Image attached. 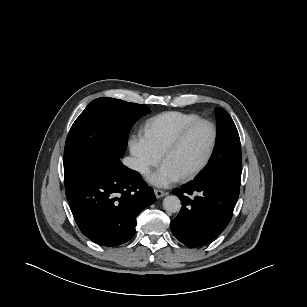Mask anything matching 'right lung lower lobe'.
Returning a JSON list of instances; mask_svg holds the SVG:
<instances>
[{
  "instance_id": "right-lung-lower-lobe-1",
  "label": "right lung lower lobe",
  "mask_w": 307,
  "mask_h": 307,
  "mask_svg": "<svg viewBox=\"0 0 307 307\" xmlns=\"http://www.w3.org/2000/svg\"><path fill=\"white\" fill-rule=\"evenodd\" d=\"M81 232L103 246H117L135 235L136 217L155 201L140 174L119 159L76 187L66 191Z\"/></svg>"
}]
</instances>
